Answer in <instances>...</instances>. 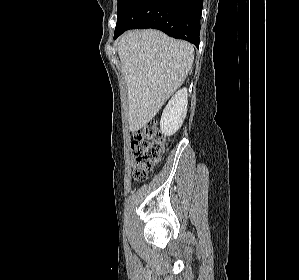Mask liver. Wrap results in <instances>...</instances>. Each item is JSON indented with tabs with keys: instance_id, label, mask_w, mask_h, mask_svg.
I'll return each instance as SVG.
<instances>
[{
	"instance_id": "1",
	"label": "liver",
	"mask_w": 299,
	"mask_h": 280,
	"mask_svg": "<svg viewBox=\"0 0 299 280\" xmlns=\"http://www.w3.org/2000/svg\"><path fill=\"white\" fill-rule=\"evenodd\" d=\"M128 89L129 130L145 127L183 84L194 60V47L161 31H129L118 42Z\"/></svg>"
}]
</instances>
